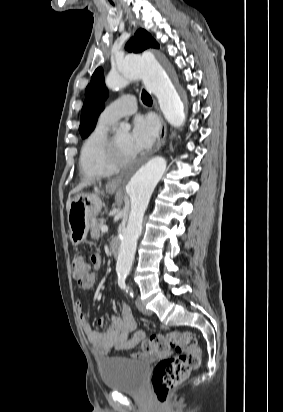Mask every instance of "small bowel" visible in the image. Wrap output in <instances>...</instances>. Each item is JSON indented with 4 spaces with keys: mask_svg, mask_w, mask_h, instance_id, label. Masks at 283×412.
I'll return each mask as SVG.
<instances>
[{
    "mask_svg": "<svg viewBox=\"0 0 283 412\" xmlns=\"http://www.w3.org/2000/svg\"><path fill=\"white\" fill-rule=\"evenodd\" d=\"M94 257L98 260L96 265V269H98L101 262L100 256L95 254ZM95 282L96 275L92 273L79 285L83 289H90L94 286ZM75 308L81 329L92 345L94 354L98 357H105L111 351L129 350L137 346L146 336L143 330L137 328L132 312L125 303L120 304V314L112 315L109 323L104 318L97 320L98 326L104 328L102 332L92 328L88 317L82 310V302L80 300L75 302ZM132 332H134V335L132 338H129ZM142 356L144 355L142 354Z\"/></svg>",
    "mask_w": 283,
    "mask_h": 412,
    "instance_id": "small-bowel-1",
    "label": "small bowel"
}]
</instances>
